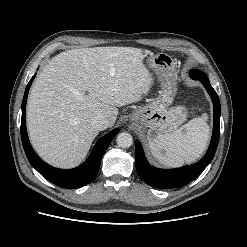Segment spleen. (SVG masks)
I'll use <instances>...</instances> for the list:
<instances>
[{
	"mask_svg": "<svg viewBox=\"0 0 247 247\" xmlns=\"http://www.w3.org/2000/svg\"><path fill=\"white\" fill-rule=\"evenodd\" d=\"M208 139L209 125L204 114L172 133H158L149 138V148L161 164L179 167L198 159L206 149Z\"/></svg>",
	"mask_w": 247,
	"mask_h": 247,
	"instance_id": "obj_1",
	"label": "spleen"
}]
</instances>
